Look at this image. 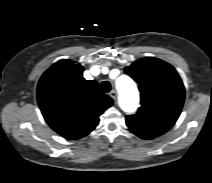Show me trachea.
<instances>
[{"mask_svg":"<svg viewBox=\"0 0 212 183\" xmlns=\"http://www.w3.org/2000/svg\"><path fill=\"white\" fill-rule=\"evenodd\" d=\"M101 89L103 92L108 93L111 90V85L108 81H103L101 83Z\"/></svg>","mask_w":212,"mask_h":183,"instance_id":"3493384b","label":"trachea"}]
</instances>
